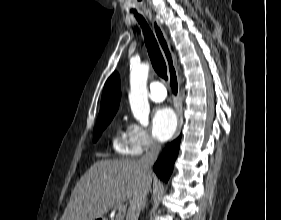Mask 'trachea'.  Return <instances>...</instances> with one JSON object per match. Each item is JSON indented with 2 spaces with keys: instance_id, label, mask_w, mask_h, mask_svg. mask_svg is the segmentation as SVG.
Wrapping results in <instances>:
<instances>
[{
  "instance_id": "obj_1",
  "label": "trachea",
  "mask_w": 281,
  "mask_h": 220,
  "mask_svg": "<svg viewBox=\"0 0 281 220\" xmlns=\"http://www.w3.org/2000/svg\"><path fill=\"white\" fill-rule=\"evenodd\" d=\"M135 17L140 23L143 34H144V41L147 47V51L152 63V66L155 72L162 78L167 79V67L164 61V58L161 54L157 41L150 30L149 26L147 25L145 19L139 15L136 11H134Z\"/></svg>"
}]
</instances>
